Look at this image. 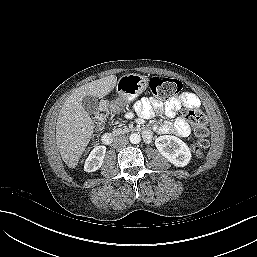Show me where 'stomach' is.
Returning <instances> with one entry per match:
<instances>
[{
  "instance_id": "obj_1",
  "label": "stomach",
  "mask_w": 257,
  "mask_h": 257,
  "mask_svg": "<svg viewBox=\"0 0 257 257\" xmlns=\"http://www.w3.org/2000/svg\"><path fill=\"white\" fill-rule=\"evenodd\" d=\"M147 78L139 74H125L117 83V93L125 102H131L147 88Z\"/></svg>"
}]
</instances>
